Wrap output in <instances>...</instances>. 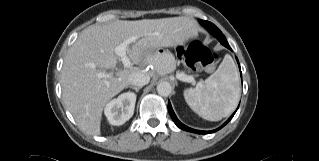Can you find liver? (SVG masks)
<instances>
[{
	"mask_svg": "<svg viewBox=\"0 0 319 161\" xmlns=\"http://www.w3.org/2000/svg\"><path fill=\"white\" fill-rule=\"evenodd\" d=\"M197 34V22L188 17L117 20L87 27L64 59L61 86L65 106L84 132L100 135L102 112L107 102L127 87L132 73L140 72L148 64L156 68L147 56L148 52L159 47L183 44ZM131 37L137 39L127 49V56L140 67L117 70L120 58L114 49ZM107 69L112 70L108 77L100 78L98 74ZM114 69L117 70L115 73Z\"/></svg>",
	"mask_w": 319,
	"mask_h": 161,
	"instance_id": "liver-1",
	"label": "liver"
}]
</instances>
